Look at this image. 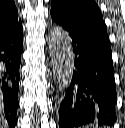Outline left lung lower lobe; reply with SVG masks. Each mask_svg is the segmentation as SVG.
Masks as SVG:
<instances>
[{
  "label": "left lung lower lobe",
  "instance_id": "obj_1",
  "mask_svg": "<svg viewBox=\"0 0 125 128\" xmlns=\"http://www.w3.org/2000/svg\"><path fill=\"white\" fill-rule=\"evenodd\" d=\"M75 70L60 105V128L112 126L117 99L111 46L69 33Z\"/></svg>",
  "mask_w": 125,
  "mask_h": 128
}]
</instances>
